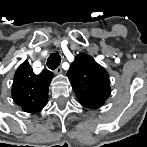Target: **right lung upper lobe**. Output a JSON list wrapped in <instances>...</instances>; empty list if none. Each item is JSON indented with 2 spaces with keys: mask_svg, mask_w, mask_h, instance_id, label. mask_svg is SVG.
<instances>
[{
  "mask_svg": "<svg viewBox=\"0 0 147 147\" xmlns=\"http://www.w3.org/2000/svg\"><path fill=\"white\" fill-rule=\"evenodd\" d=\"M53 73L43 71L39 75L33 73L28 61L23 62L16 70L12 84V98L27 113H36L47 104L48 87Z\"/></svg>",
  "mask_w": 147,
  "mask_h": 147,
  "instance_id": "right-lung-upper-lobe-1",
  "label": "right lung upper lobe"
}]
</instances>
